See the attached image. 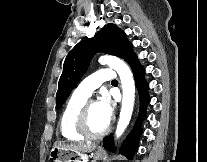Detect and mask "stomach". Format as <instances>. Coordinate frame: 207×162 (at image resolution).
Instances as JSON below:
<instances>
[{
    "instance_id": "stomach-1",
    "label": "stomach",
    "mask_w": 207,
    "mask_h": 162,
    "mask_svg": "<svg viewBox=\"0 0 207 162\" xmlns=\"http://www.w3.org/2000/svg\"><path fill=\"white\" fill-rule=\"evenodd\" d=\"M104 156V152L101 149L91 153V157L94 160H99ZM86 155L82 153H75L69 150L60 149L54 147L49 153L50 162H86ZM83 160V161H81Z\"/></svg>"
}]
</instances>
